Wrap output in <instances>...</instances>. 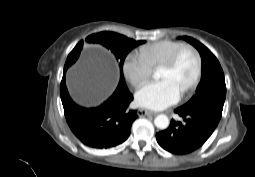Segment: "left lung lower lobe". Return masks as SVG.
Returning <instances> with one entry per match:
<instances>
[{
  "mask_svg": "<svg viewBox=\"0 0 255 177\" xmlns=\"http://www.w3.org/2000/svg\"><path fill=\"white\" fill-rule=\"evenodd\" d=\"M183 123L171 121L170 126L156 134L159 145L170 153L183 155L200 148L217 127L221 115L207 110L190 111L177 108Z\"/></svg>",
  "mask_w": 255,
  "mask_h": 177,
  "instance_id": "obj_1",
  "label": "left lung lower lobe"
}]
</instances>
